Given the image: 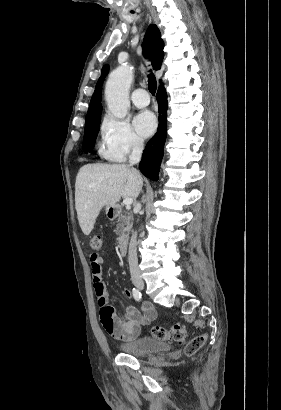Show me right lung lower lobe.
Instances as JSON below:
<instances>
[{"instance_id":"right-lung-lower-lobe-1","label":"right lung lower lobe","mask_w":281,"mask_h":410,"mask_svg":"<svg viewBox=\"0 0 281 410\" xmlns=\"http://www.w3.org/2000/svg\"><path fill=\"white\" fill-rule=\"evenodd\" d=\"M159 126L156 134L146 145L139 168L151 180H158L160 163L166 140L167 94L163 85L157 92Z\"/></svg>"}]
</instances>
